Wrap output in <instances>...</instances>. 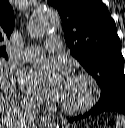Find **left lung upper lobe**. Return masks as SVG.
<instances>
[{"label": "left lung upper lobe", "mask_w": 125, "mask_h": 128, "mask_svg": "<svg viewBox=\"0 0 125 128\" xmlns=\"http://www.w3.org/2000/svg\"><path fill=\"white\" fill-rule=\"evenodd\" d=\"M60 14L71 55L101 88L98 103L125 91L124 58L117 29L101 0H47Z\"/></svg>", "instance_id": "5c2ea615"}]
</instances>
